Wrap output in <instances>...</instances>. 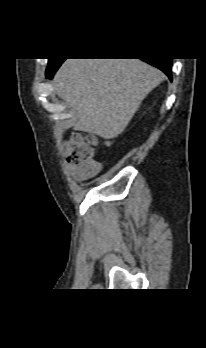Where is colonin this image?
Segmentation results:
<instances>
[{"instance_id": "obj_1", "label": "colon", "mask_w": 206, "mask_h": 348, "mask_svg": "<svg viewBox=\"0 0 206 348\" xmlns=\"http://www.w3.org/2000/svg\"><path fill=\"white\" fill-rule=\"evenodd\" d=\"M98 140L92 136L72 134L63 144L62 150L68 164L72 167H81L94 157V146Z\"/></svg>"}]
</instances>
